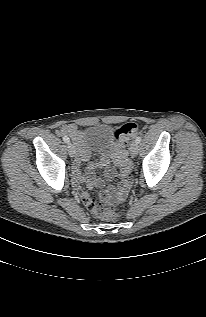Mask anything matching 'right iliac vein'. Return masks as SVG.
<instances>
[{"label":"right iliac vein","mask_w":206,"mask_h":317,"mask_svg":"<svg viewBox=\"0 0 206 317\" xmlns=\"http://www.w3.org/2000/svg\"><path fill=\"white\" fill-rule=\"evenodd\" d=\"M67 150H68V153H69L70 157H74V156H75V154H76V149H75V147H74L73 144L68 143V145H67Z\"/></svg>","instance_id":"obj_1"}]
</instances>
